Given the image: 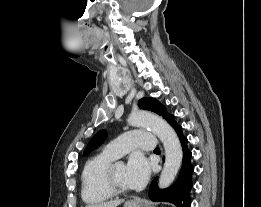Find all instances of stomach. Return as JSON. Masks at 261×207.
Here are the masks:
<instances>
[{"mask_svg":"<svg viewBox=\"0 0 261 207\" xmlns=\"http://www.w3.org/2000/svg\"><path fill=\"white\" fill-rule=\"evenodd\" d=\"M123 207H153L148 201L144 200H129Z\"/></svg>","mask_w":261,"mask_h":207,"instance_id":"stomach-1","label":"stomach"}]
</instances>
